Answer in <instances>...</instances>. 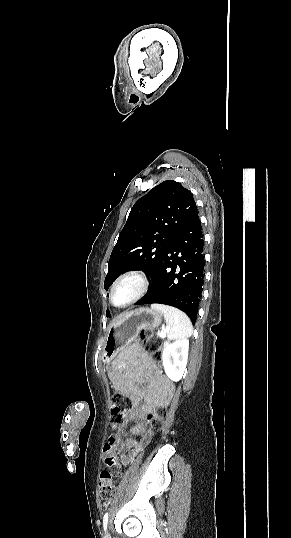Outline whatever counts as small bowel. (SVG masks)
I'll list each match as a JSON object with an SVG mask.
<instances>
[{"label": "small bowel", "mask_w": 291, "mask_h": 538, "mask_svg": "<svg viewBox=\"0 0 291 538\" xmlns=\"http://www.w3.org/2000/svg\"><path fill=\"white\" fill-rule=\"evenodd\" d=\"M105 370L109 374L113 388L133 403V408L125 417L126 423L133 425V438L123 439L119 431H114L106 444L113 447L116 465L110 467L117 475L122 467L128 466L151 441V433L145 427V417L158 400L169 401L174 387L161 375L159 368L150 358L137 348L115 354Z\"/></svg>", "instance_id": "small-bowel-1"}]
</instances>
